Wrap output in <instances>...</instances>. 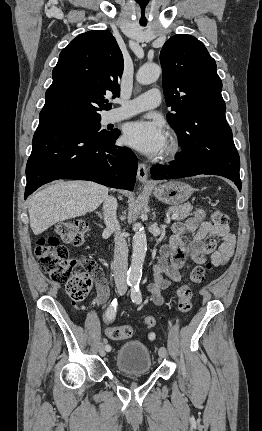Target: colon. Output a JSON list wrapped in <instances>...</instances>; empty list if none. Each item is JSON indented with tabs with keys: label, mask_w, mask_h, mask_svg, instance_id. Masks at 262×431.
Here are the masks:
<instances>
[{
	"label": "colon",
	"mask_w": 262,
	"mask_h": 431,
	"mask_svg": "<svg viewBox=\"0 0 262 431\" xmlns=\"http://www.w3.org/2000/svg\"><path fill=\"white\" fill-rule=\"evenodd\" d=\"M209 222L215 227L228 224L227 215L220 209L210 211ZM85 227L79 222L62 223L57 228L56 235L40 237L35 246V256L44 274L52 281L65 284L69 297L76 302L83 301L90 293L93 278L100 273L94 261L89 258L74 259L68 252L65 244L79 245L84 238ZM82 270H75V267ZM211 267L208 263L195 267L189 276V281L177 289L178 310L187 314L192 308V285L204 281L206 271ZM144 325L151 329L156 325L153 317L144 319ZM134 333L130 325L111 327L107 330V336L111 340L121 341L130 338Z\"/></svg>",
	"instance_id": "colon-1"
}]
</instances>
